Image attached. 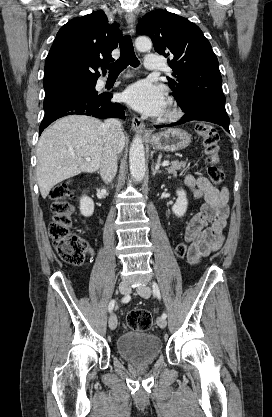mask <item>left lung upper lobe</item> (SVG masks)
Here are the masks:
<instances>
[{
	"label": "left lung upper lobe",
	"instance_id": "left-lung-upper-lobe-1",
	"mask_svg": "<svg viewBox=\"0 0 272 417\" xmlns=\"http://www.w3.org/2000/svg\"><path fill=\"white\" fill-rule=\"evenodd\" d=\"M137 33L150 36L159 54L173 58L168 62L175 78L168 80L181 108L196 105L226 113L218 60L197 25L166 10H156L139 21Z\"/></svg>",
	"mask_w": 272,
	"mask_h": 417
}]
</instances>
